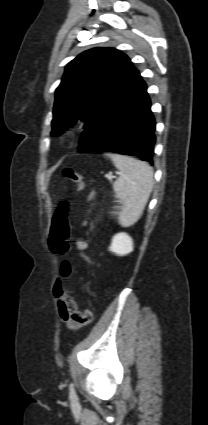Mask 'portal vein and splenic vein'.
<instances>
[{"instance_id": "1", "label": "portal vein and splenic vein", "mask_w": 208, "mask_h": 425, "mask_svg": "<svg viewBox=\"0 0 208 425\" xmlns=\"http://www.w3.org/2000/svg\"><path fill=\"white\" fill-rule=\"evenodd\" d=\"M119 174V173H118ZM106 177L108 178V179H111V176L110 175H106Z\"/></svg>"}]
</instances>
